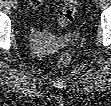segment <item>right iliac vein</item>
<instances>
[{"label": "right iliac vein", "mask_w": 111, "mask_h": 106, "mask_svg": "<svg viewBox=\"0 0 111 106\" xmlns=\"http://www.w3.org/2000/svg\"><path fill=\"white\" fill-rule=\"evenodd\" d=\"M10 3H11V5H12V7H14V8L17 6V2H16L15 0L10 1Z\"/></svg>", "instance_id": "right-iliac-vein-1"}]
</instances>
